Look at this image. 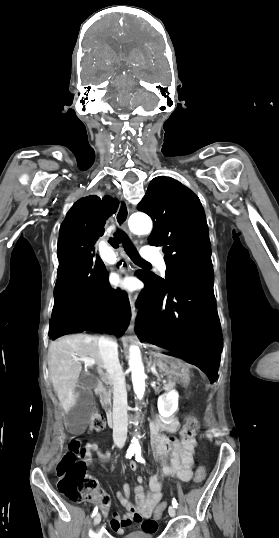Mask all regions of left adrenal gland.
<instances>
[{
	"label": "left adrenal gland",
	"instance_id": "1",
	"mask_svg": "<svg viewBox=\"0 0 279 538\" xmlns=\"http://www.w3.org/2000/svg\"><path fill=\"white\" fill-rule=\"evenodd\" d=\"M148 364H149V368H152V366H151V364H152V358H149V362H148ZM155 376H157L158 380H160V376H159V374H157V372H155Z\"/></svg>",
	"mask_w": 279,
	"mask_h": 538
}]
</instances>
